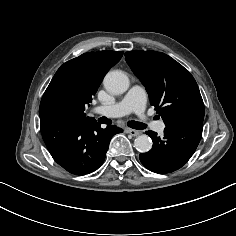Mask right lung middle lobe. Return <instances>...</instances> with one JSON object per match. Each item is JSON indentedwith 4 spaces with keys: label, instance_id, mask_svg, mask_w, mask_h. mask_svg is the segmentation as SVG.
Segmentation results:
<instances>
[{
    "label": "right lung middle lobe",
    "instance_id": "obj_1",
    "mask_svg": "<svg viewBox=\"0 0 236 236\" xmlns=\"http://www.w3.org/2000/svg\"><path fill=\"white\" fill-rule=\"evenodd\" d=\"M74 105V102L67 98V97H61L56 102V108L61 113L69 112Z\"/></svg>",
    "mask_w": 236,
    "mask_h": 236
}]
</instances>
